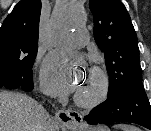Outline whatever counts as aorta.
<instances>
[{"mask_svg": "<svg viewBox=\"0 0 151 131\" xmlns=\"http://www.w3.org/2000/svg\"><path fill=\"white\" fill-rule=\"evenodd\" d=\"M54 24L60 30H70L75 27L76 21L70 14L57 13Z\"/></svg>", "mask_w": 151, "mask_h": 131, "instance_id": "obj_1", "label": "aorta"}]
</instances>
